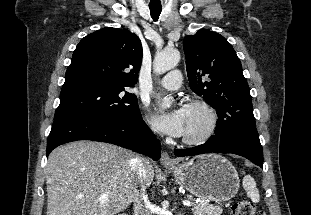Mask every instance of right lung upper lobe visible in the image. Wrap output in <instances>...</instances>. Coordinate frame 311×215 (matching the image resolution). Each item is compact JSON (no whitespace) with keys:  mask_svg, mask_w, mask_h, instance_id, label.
Instances as JSON below:
<instances>
[{"mask_svg":"<svg viewBox=\"0 0 311 215\" xmlns=\"http://www.w3.org/2000/svg\"><path fill=\"white\" fill-rule=\"evenodd\" d=\"M142 54L140 39L130 31L112 27L100 29L78 43L63 86L79 83L134 86Z\"/></svg>","mask_w":311,"mask_h":215,"instance_id":"right-lung-upper-lobe-1","label":"right lung upper lobe"}]
</instances>
